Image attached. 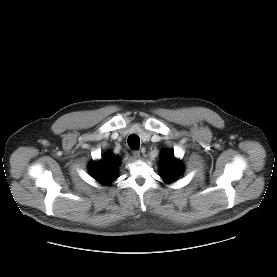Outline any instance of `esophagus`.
I'll return each mask as SVG.
<instances>
[{
	"label": "esophagus",
	"mask_w": 277,
	"mask_h": 277,
	"mask_svg": "<svg viewBox=\"0 0 277 277\" xmlns=\"http://www.w3.org/2000/svg\"><path fill=\"white\" fill-rule=\"evenodd\" d=\"M133 154V157L136 159V160H139L140 159V151L138 150H135L132 152Z\"/></svg>",
	"instance_id": "1"
}]
</instances>
